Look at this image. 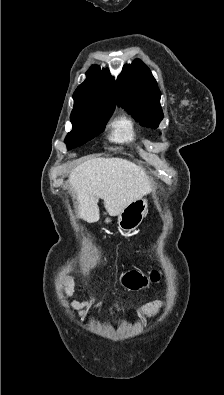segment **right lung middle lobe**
I'll return each mask as SVG.
<instances>
[{
  "instance_id": "right-lung-middle-lobe-1",
  "label": "right lung middle lobe",
  "mask_w": 224,
  "mask_h": 395,
  "mask_svg": "<svg viewBox=\"0 0 224 395\" xmlns=\"http://www.w3.org/2000/svg\"><path fill=\"white\" fill-rule=\"evenodd\" d=\"M73 99L75 103L70 116L73 129L65 139L69 149L81 146L101 133L114 111L93 105L84 99Z\"/></svg>"
}]
</instances>
